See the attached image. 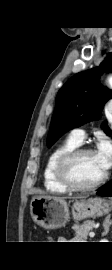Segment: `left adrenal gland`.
<instances>
[{
  "mask_svg": "<svg viewBox=\"0 0 112 270\" xmlns=\"http://www.w3.org/2000/svg\"><path fill=\"white\" fill-rule=\"evenodd\" d=\"M111 215H107L104 223H103V227H104V232H103V236L107 235V233L109 232V228L112 225V220H110Z\"/></svg>",
  "mask_w": 112,
  "mask_h": 270,
  "instance_id": "obj_1",
  "label": "left adrenal gland"
}]
</instances>
